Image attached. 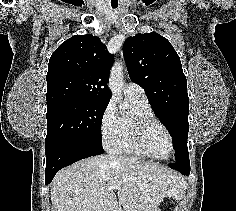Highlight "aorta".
Instances as JSON below:
<instances>
[{
  "label": "aorta",
  "mask_w": 236,
  "mask_h": 211,
  "mask_svg": "<svg viewBox=\"0 0 236 211\" xmlns=\"http://www.w3.org/2000/svg\"><path fill=\"white\" fill-rule=\"evenodd\" d=\"M109 89L114 98L121 97V91L123 86V66L122 63L116 62L110 72L109 77ZM124 105L120 102V108H123Z\"/></svg>",
  "instance_id": "obj_1"
}]
</instances>
